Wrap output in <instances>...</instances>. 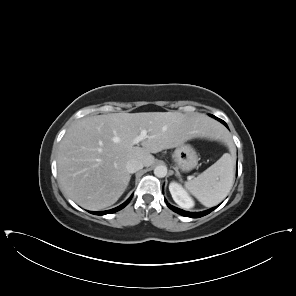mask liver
I'll list each match as a JSON object with an SVG mask.
<instances>
[{
  "label": "liver",
  "instance_id": "obj_1",
  "mask_svg": "<svg viewBox=\"0 0 296 296\" xmlns=\"http://www.w3.org/2000/svg\"><path fill=\"white\" fill-rule=\"evenodd\" d=\"M148 138L141 146L132 140L141 130ZM217 124L202 113H111L85 117L66 132L57 158L61 190L87 210H100L117 202L130 181L126 169L137 159L151 166L157 153L197 137H217Z\"/></svg>",
  "mask_w": 296,
  "mask_h": 296
}]
</instances>
